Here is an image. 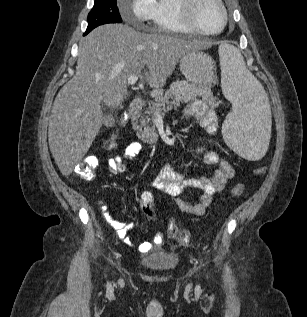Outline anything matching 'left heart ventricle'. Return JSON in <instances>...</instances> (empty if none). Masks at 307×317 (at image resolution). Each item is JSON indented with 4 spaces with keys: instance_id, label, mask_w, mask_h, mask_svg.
Wrapping results in <instances>:
<instances>
[{
    "instance_id": "1",
    "label": "left heart ventricle",
    "mask_w": 307,
    "mask_h": 317,
    "mask_svg": "<svg viewBox=\"0 0 307 317\" xmlns=\"http://www.w3.org/2000/svg\"><path fill=\"white\" fill-rule=\"evenodd\" d=\"M195 18L200 28L215 31L222 24V13L214 0H201L196 7Z\"/></svg>"
}]
</instances>
